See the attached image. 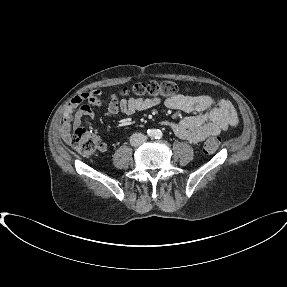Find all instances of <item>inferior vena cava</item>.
Instances as JSON below:
<instances>
[{
    "label": "inferior vena cava",
    "instance_id": "obj_1",
    "mask_svg": "<svg viewBox=\"0 0 287 287\" xmlns=\"http://www.w3.org/2000/svg\"><path fill=\"white\" fill-rule=\"evenodd\" d=\"M147 137L141 133H134L130 137V144L134 147L142 145L146 141Z\"/></svg>",
    "mask_w": 287,
    "mask_h": 287
}]
</instances>
